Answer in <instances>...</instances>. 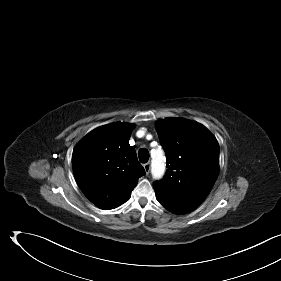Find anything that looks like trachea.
<instances>
[{
  "mask_svg": "<svg viewBox=\"0 0 281 281\" xmlns=\"http://www.w3.org/2000/svg\"><path fill=\"white\" fill-rule=\"evenodd\" d=\"M138 157L141 163H146L149 160V152L146 148H141L138 152Z\"/></svg>",
  "mask_w": 281,
  "mask_h": 281,
  "instance_id": "1",
  "label": "trachea"
}]
</instances>
